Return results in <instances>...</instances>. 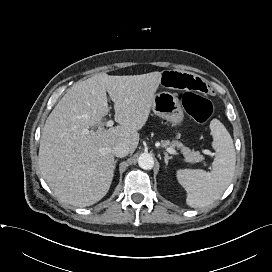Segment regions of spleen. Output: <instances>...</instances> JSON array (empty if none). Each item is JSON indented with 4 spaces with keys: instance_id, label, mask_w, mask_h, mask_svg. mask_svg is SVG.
<instances>
[{
    "instance_id": "3e777b00",
    "label": "spleen",
    "mask_w": 272,
    "mask_h": 272,
    "mask_svg": "<svg viewBox=\"0 0 272 272\" xmlns=\"http://www.w3.org/2000/svg\"><path fill=\"white\" fill-rule=\"evenodd\" d=\"M210 130L216 152L212 170L180 169L176 173L178 182L187 192L186 203L193 208L208 206L219 199L235 172L236 153L232 137L218 119L210 122Z\"/></svg>"
}]
</instances>
